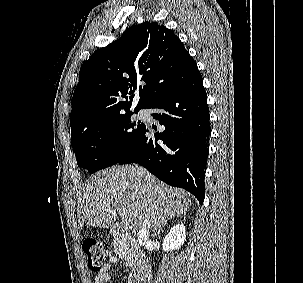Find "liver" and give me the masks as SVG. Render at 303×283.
Masks as SVG:
<instances>
[{"label":"liver","instance_id":"liver-1","mask_svg":"<svg viewBox=\"0 0 303 283\" xmlns=\"http://www.w3.org/2000/svg\"><path fill=\"white\" fill-rule=\"evenodd\" d=\"M191 199L185 190L168 186L142 167L113 166L92 175L78 198V228L84 223L111 228L116 213L128 217L134 234L143 223L158 230L185 214Z\"/></svg>","mask_w":303,"mask_h":283}]
</instances>
